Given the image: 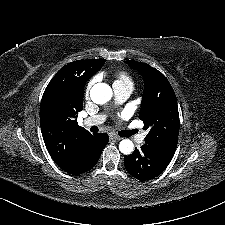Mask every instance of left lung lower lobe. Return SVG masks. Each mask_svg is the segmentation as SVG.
I'll return each instance as SVG.
<instances>
[{"mask_svg":"<svg viewBox=\"0 0 225 225\" xmlns=\"http://www.w3.org/2000/svg\"><path fill=\"white\" fill-rule=\"evenodd\" d=\"M175 152L151 145H142L141 149L124 157L127 171L140 181H148L160 175L172 160Z\"/></svg>","mask_w":225,"mask_h":225,"instance_id":"left-lung-lower-lobe-1","label":"left lung lower lobe"}]
</instances>
